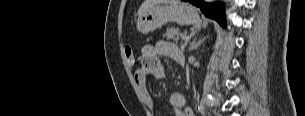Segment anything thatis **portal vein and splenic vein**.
Segmentation results:
<instances>
[{"mask_svg": "<svg viewBox=\"0 0 305 116\" xmlns=\"http://www.w3.org/2000/svg\"><path fill=\"white\" fill-rule=\"evenodd\" d=\"M182 40H185L186 42L189 40V37H187V36H183L182 37Z\"/></svg>", "mask_w": 305, "mask_h": 116, "instance_id": "obj_1", "label": "portal vein and splenic vein"}]
</instances>
